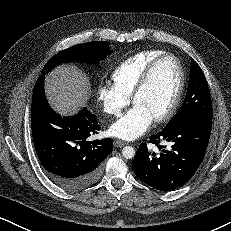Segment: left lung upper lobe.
Wrapping results in <instances>:
<instances>
[{
	"instance_id": "obj_1",
	"label": "left lung upper lobe",
	"mask_w": 231,
	"mask_h": 231,
	"mask_svg": "<svg viewBox=\"0 0 231 231\" xmlns=\"http://www.w3.org/2000/svg\"><path fill=\"white\" fill-rule=\"evenodd\" d=\"M212 117L213 110L209 87L201 68L192 59L188 90L184 102L164 128L190 118L212 120Z\"/></svg>"
}]
</instances>
